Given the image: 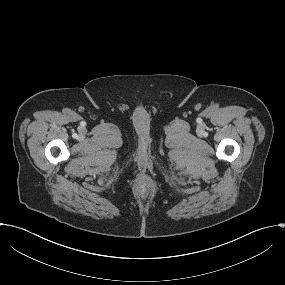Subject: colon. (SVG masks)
<instances>
[{
	"label": "colon",
	"mask_w": 285,
	"mask_h": 285,
	"mask_svg": "<svg viewBox=\"0 0 285 285\" xmlns=\"http://www.w3.org/2000/svg\"><path fill=\"white\" fill-rule=\"evenodd\" d=\"M141 184H145V181H141Z\"/></svg>",
	"instance_id": "obj_1"
}]
</instances>
